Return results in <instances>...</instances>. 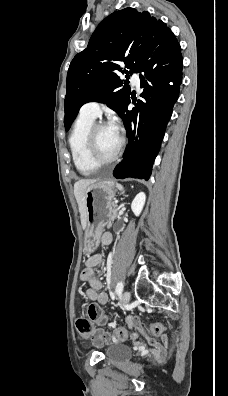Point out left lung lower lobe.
<instances>
[{"label":"left lung lower lobe","instance_id":"left-lung-lower-lobe-1","mask_svg":"<svg viewBox=\"0 0 228 396\" xmlns=\"http://www.w3.org/2000/svg\"><path fill=\"white\" fill-rule=\"evenodd\" d=\"M181 47L169 29L153 39L147 49L140 75L143 101L133 110L127 107L121 115L129 143L124 158L113 171L116 178L148 180L171 117L172 108L179 95L182 81ZM133 103H135L133 101Z\"/></svg>","mask_w":228,"mask_h":396}]
</instances>
